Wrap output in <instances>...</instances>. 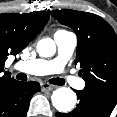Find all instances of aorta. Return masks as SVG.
<instances>
[{"label": "aorta", "instance_id": "obj_1", "mask_svg": "<svg viewBox=\"0 0 117 117\" xmlns=\"http://www.w3.org/2000/svg\"><path fill=\"white\" fill-rule=\"evenodd\" d=\"M37 51L42 57H51L56 52V46L52 39L45 38L38 42ZM52 105L61 113L71 111L77 102L74 91L66 87L56 89L51 96Z\"/></svg>", "mask_w": 117, "mask_h": 117}]
</instances>
